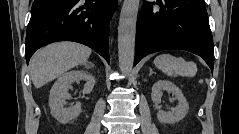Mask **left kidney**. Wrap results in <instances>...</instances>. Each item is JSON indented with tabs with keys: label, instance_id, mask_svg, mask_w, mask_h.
<instances>
[{
	"label": "left kidney",
	"instance_id": "5707ae66",
	"mask_svg": "<svg viewBox=\"0 0 239 134\" xmlns=\"http://www.w3.org/2000/svg\"><path fill=\"white\" fill-rule=\"evenodd\" d=\"M164 91L172 93L178 100V104L176 107L171 108L168 112L160 110L157 113V118L161 123H177L186 116L189 110V104L182 91L174 83L168 80H158L153 85L151 94V99L155 105H159L161 103V98Z\"/></svg>",
	"mask_w": 239,
	"mask_h": 134
}]
</instances>
